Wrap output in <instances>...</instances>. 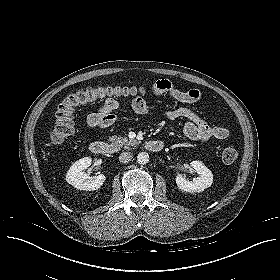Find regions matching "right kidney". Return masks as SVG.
Wrapping results in <instances>:
<instances>
[{
    "mask_svg": "<svg viewBox=\"0 0 280 280\" xmlns=\"http://www.w3.org/2000/svg\"><path fill=\"white\" fill-rule=\"evenodd\" d=\"M92 159L84 157L76 161L68 170L66 181L79 190L94 191L99 189L106 180L105 175L89 176L84 172L91 165Z\"/></svg>",
    "mask_w": 280,
    "mask_h": 280,
    "instance_id": "obj_1",
    "label": "right kidney"
}]
</instances>
